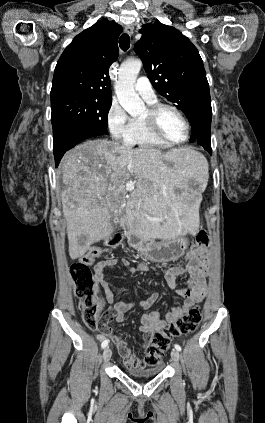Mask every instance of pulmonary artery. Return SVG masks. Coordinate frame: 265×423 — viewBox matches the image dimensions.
Here are the masks:
<instances>
[{
  "label": "pulmonary artery",
  "mask_w": 265,
  "mask_h": 423,
  "mask_svg": "<svg viewBox=\"0 0 265 423\" xmlns=\"http://www.w3.org/2000/svg\"><path fill=\"white\" fill-rule=\"evenodd\" d=\"M135 90L138 95L146 102L152 103L156 101L155 91L147 78H139L137 83L135 84Z\"/></svg>",
  "instance_id": "e3ab8cb5"
}]
</instances>
